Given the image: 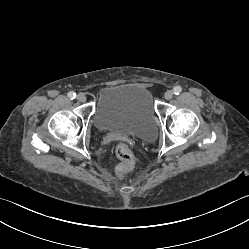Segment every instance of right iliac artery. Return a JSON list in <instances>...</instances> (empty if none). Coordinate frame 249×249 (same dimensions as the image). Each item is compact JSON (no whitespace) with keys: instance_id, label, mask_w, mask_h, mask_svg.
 <instances>
[{"instance_id":"1","label":"right iliac artery","mask_w":249,"mask_h":249,"mask_svg":"<svg viewBox=\"0 0 249 249\" xmlns=\"http://www.w3.org/2000/svg\"><path fill=\"white\" fill-rule=\"evenodd\" d=\"M68 97L70 98V99H75V97H76V93H74V92H69L68 93Z\"/></svg>"}]
</instances>
